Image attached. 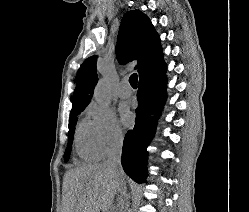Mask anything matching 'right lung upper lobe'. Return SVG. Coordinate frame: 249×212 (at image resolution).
<instances>
[{
  "label": "right lung upper lobe",
  "mask_w": 249,
  "mask_h": 212,
  "mask_svg": "<svg viewBox=\"0 0 249 212\" xmlns=\"http://www.w3.org/2000/svg\"><path fill=\"white\" fill-rule=\"evenodd\" d=\"M159 35L149 18L139 10L128 11L122 18L116 55L121 64L138 60L139 75L163 57ZM97 57L91 56L81 65L73 94L72 110L84 109L90 102L97 83Z\"/></svg>",
  "instance_id": "obj_1"
}]
</instances>
